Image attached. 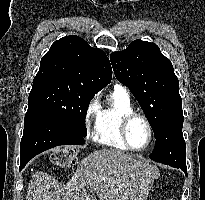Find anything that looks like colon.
<instances>
[{"mask_svg":"<svg viewBox=\"0 0 205 200\" xmlns=\"http://www.w3.org/2000/svg\"><path fill=\"white\" fill-rule=\"evenodd\" d=\"M77 150L74 148L61 149L51 156V162L54 166L59 168H67L76 163Z\"/></svg>","mask_w":205,"mask_h":200,"instance_id":"1","label":"colon"}]
</instances>
